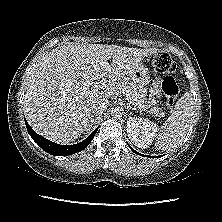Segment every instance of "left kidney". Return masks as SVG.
Returning <instances> with one entry per match:
<instances>
[{
  "label": "left kidney",
  "instance_id": "obj_1",
  "mask_svg": "<svg viewBox=\"0 0 222 222\" xmlns=\"http://www.w3.org/2000/svg\"><path fill=\"white\" fill-rule=\"evenodd\" d=\"M158 127L155 122L139 117H130L127 121V133L133 144L139 148H148L154 137Z\"/></svg>",
  "mask_w": 222,
  "mask_h": 222
}]
</instances>
